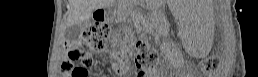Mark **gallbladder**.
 <instances>
[{"instance_id": "1", "label": "gallbladder", "mask_w": 258, "mask_h": 77, "mask_svg": "<svg viewBox=\"0 0 258 77\" xmlns=\"http://www.w3.org/2000/svg\"><path fill=\"white\" fill-rule=\"evenodd\" d=\"M81 33L80 25H72L66 29L65 36L69 40H77Z\"/></svg>"}]
</instances>
